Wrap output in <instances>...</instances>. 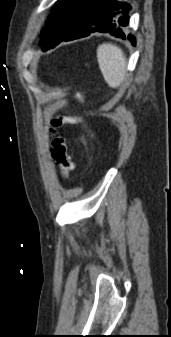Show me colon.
Masks as SVG:
<instances>
[{"mask_svg": "<svg viewBox=\"0 0 171 337\" xmlns=\"http://www.w3.org/2000/svg\"><path fill=\"white\" fill-rule=\"evenodd\" d=\"M85 93L83 89H78L74 92L75 101L81 105L85 101ZM82 119L78 115H57L51 120L53 138L51 141V155L52 159L57 163L63 178H68L70 173L74 170V162L69 153V147L64 137L56 132V128L64 125H77L81 123Z\"/></svg>", "mask_w": 171, "mask_h": 337, "instance_id": "colon-1", "label": "colon"}]
</instances>
